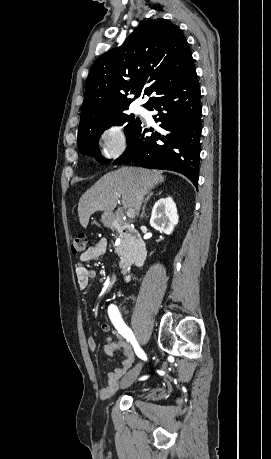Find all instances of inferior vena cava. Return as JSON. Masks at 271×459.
Returning <instances> with one entry per match:
<instances>
[{"label":"inferior vena cava","instance_id":"obj_1","mask_svg":"<svg viewBox=\"0 0 271 459\" xmlns=\"http://www.w3.org/2000/svg\"><path fill=\"white\" fill-rule=\"evenodd\" d=\"M140 194V192H139ZM142 196H138V198H136V202H135V212L136 214H139V210H140V206H141V200Z\"/></svg>","mask_w":271,"mask_h":459}]
</instances>
